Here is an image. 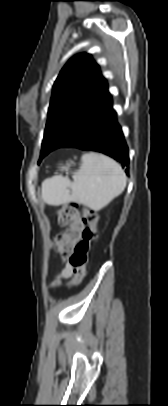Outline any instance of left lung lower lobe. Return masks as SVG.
<instances>
[{"label":"left lung lower lobe","instance_id":"0a47b994","mask_svg":"<svg viewBox=\"0 0 168 406\" xmlns=\"http://www.w3.org/2000/svg\"><path fill=\"white\" fill-rule=\"evenodd\" d=\"M60 147L79 148L104 153L122 163L129 165L128 147L121 127L112 108L111 95L107 91L92 110L83 127ZM126 174L129 169L125 170Z\"/></svg>","mask_w":168,"mask_h":406}]
</instances>
